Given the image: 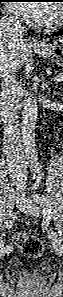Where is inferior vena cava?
I'll list each match as a JSON object with an SVG mask.
<instances>
[{
  "label": "inferior vena cava",
  "mask_w": 63,
  "mask_h": 297,
  "mask_svg": "<svg viewBox=\"0 0 63 297\" xmlns=\"http://www.w3.org/2000/svg\"><path fill=\"white\" fill-rule=\"evenodd\" d=\"M0 33L19 43L23 40L24 28L17 16L6 13L0 21ZM1 78L0 114L3 121L8 166L15 178L23 182L27 171L20 139L15 73L1 69Z\"/></svg>",
  "instance_id": "inferior-vena-cava-1"
}]
</instances>
